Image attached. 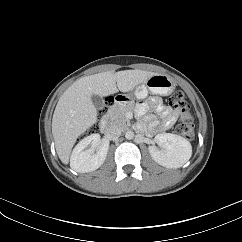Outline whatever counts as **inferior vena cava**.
Instances as JSON below:
<instances>
[{
	"label": "inferior vena cava",
	"mask_w": 242,
	"mask_h": 242,
	"mask_svg": "<svg viewBox=\"0 0 242 242\" xmlns=\"http://www.w3.org/2000/svg\"><path fill=\"white\" fill-rule=\"evenodd\" d=\"M121 133H122V128L117 124H110L106 129V135L110 139H116L120 137Z\"/></svg>",
	"instance_id": "obj_1"
}]
</instances>
